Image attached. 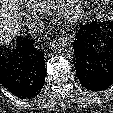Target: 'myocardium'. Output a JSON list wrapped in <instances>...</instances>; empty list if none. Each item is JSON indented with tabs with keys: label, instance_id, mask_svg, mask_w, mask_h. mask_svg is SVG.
I'll use <instances>...</instances> for the list:
<instances>
[{
	"label": "myocardium",
	"instance_id": "myocardium-1",
	"mask_svg": "<svg viewBox=\"0 0 113 113\" xmlns=\"http://www.w3.org/2000/svg\"><path fill=\"white\" fill-rule=\"evenodd\" d=\"M88 0H58L55 5L57 17L66 24L80 22L88 8Z\"/></svg>",
	"mask_w": 113,
	"mask_h": 113
}]
</instances>
